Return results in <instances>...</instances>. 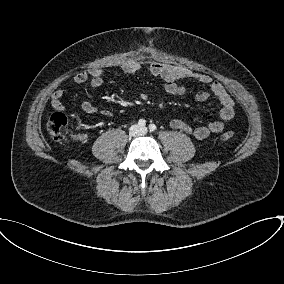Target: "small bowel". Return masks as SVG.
I'll use <instances>...</instances> for the list:
<instances>
[{
	"label": "small bowel",
	"instance_id": "c3829d8e",
	"mask_svg": "<svg viewBox=\"0 0 284 284\" xmlns=\"http://www.w3.org/2000/svg\"><path fill=\"white\" fill-rule=\"evenodd\" d=\"M146 69L152 75L158 76L164 80L165 91L171 95H183L186 92V87L180 81L184 79H195L198 82L208 85L209 90L199 91L196 94V100L199 102L206 101L211 95L216 97L220 103L219 119L210 121L204 125L192 126L181 119H174L170 122V127L187 133L197 140L206 139L211 134L220 133L224 130L225 126L234 117V100L227 92L225 87L206 74L195 73L189 69L169 65L161 62L151 61L143 63L141 61H128L122 65V70L128 74L137 73ZM103 69L100 67L91 68L89 71L79 72L74 76L75 83H83L89 80L90 87L97 89L103 84ZM64 90L56 89L51 95V106L54 110L62 112L66 110L62 102ZM82 110L87 114L100 113L109 116L110 112L106 110L98 111V109L88 100L81 103Z\"/></svg>",
	"mask_w": 284,
	"mask_h": 284
}]
</instances>
